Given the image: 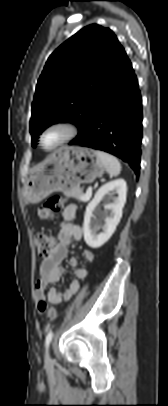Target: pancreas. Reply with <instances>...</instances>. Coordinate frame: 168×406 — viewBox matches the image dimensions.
Listing matches in <instances>:
<instances>
[{
	"label": "pancreas",
	"instance_id": "cf45deb5",
	"mask_svg": "<svg viewBox=\"0 0 168 406\" xmlns=\"http://www.w3.org/2000/svg\"><path fill=\"white\" fill-rule=\"evenodd\" d=\"M64 194L66 196H68V197H72V198H75V199H77L79 201H83L84 195L82 193V190L79 189V188L71 190V191L64 192ZM83 202H86V201H83Z\"/></svg>",
	"mask_w": 168,
	"mask_h": 406
}]
</instances>
